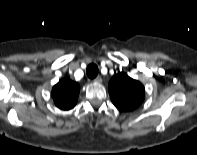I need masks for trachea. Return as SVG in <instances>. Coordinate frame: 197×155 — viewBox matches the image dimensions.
<instances>
[{
	"label": "trachea",
	"mask_w": 197,
	"mask_h": 155,
	"mask_svg": "<svg viewBox=\"0 0 197 155\" xmlns=\"http://www.w3.org/2000/svg\"><path fill=\"white\" fill-rule=\"evenodd\" d=\"M87 76L91 79L95 78L98 75V67L96 64L92 63L87 67L86 70Z\"/></svg>",
	"instance_id": "trachea-1"
}]
</instances>
